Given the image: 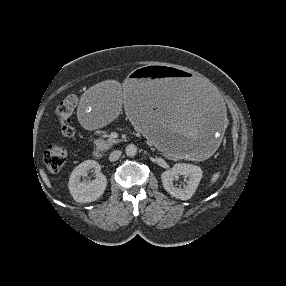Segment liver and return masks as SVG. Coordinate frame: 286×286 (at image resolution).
Masks as SVG:
<instances>
[{
    "mask_svg": "<svg viewBox=\"0 0 286 286\" xmlns=\"http://www.w3.org/2000/svg\"><path fill=\"white\" fill-rule=\"evenodd\" d=\"M118 89L121 90V87L119 85H117ZM124 88H126V85H124ZM40 175L42 177V180L44 181V183L51 188V184L50 181L47 177V174L45 173V171L43 169H40Z\"/></svg>",
    "mask_w": 286,
    "mask_h": 286,
    "instance_id": "1",
    "label": "liver"
}]
</instances>
